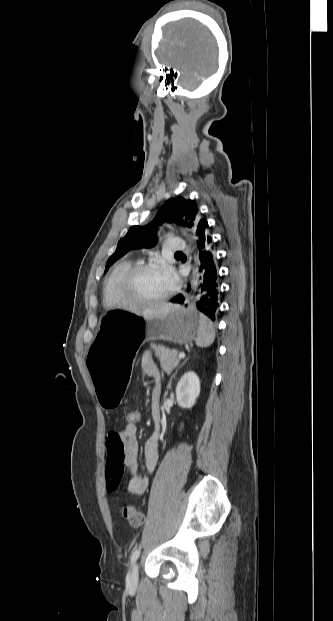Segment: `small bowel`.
Returning <instances> with one entry per match:
<instances>
[{
	"label": "small bowel",
	"mask_w": 333,
	"mask_h": 621,
	"mask_svg": "<svg viewBox=\"0 0 333 621\" xmlns=\"http://www.w3.org/2000/svg\"><path fill=\"white\" fill-rule=\"evenodd\" d=\"M141 369L144 375L154 382L152 391L151 412L154 421L160 419L159 399L161 382L158 368L149 353L141 358ZM137 426L128 424L117 432H111L106 439V467L105 478L107 489L115 492L125 473L130 475L128 491L135 495H143L149 485L148 474L152 472L159 457L158 437L153 434L145 443L143 454L147 474H138L139 445L136 439Z\"/></svg>",
	"instance_id": "obj_1"
}]
</instances>
